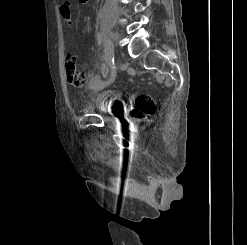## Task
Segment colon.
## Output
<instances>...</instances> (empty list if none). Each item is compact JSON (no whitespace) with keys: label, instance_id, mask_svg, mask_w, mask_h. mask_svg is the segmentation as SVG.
<instances>
[{"label":"colon","instance_id":"obj_1","mask_svg":"<svg viewBox=\"0 0 247 245\" xmlns=\"http://www.w3.org/2000/svg\"><path fill=\"white\" fill-rule=\"evenodd\" d=\"M65 74L67 82L75 87L84 85L86 77L81 72L76 64V59L73 55L68 54L65 61ZM136 108L132 115L137 118H142L152 114L155 110V101L146 94H140L135 100Z\"/></svg>","mask_w":247,"mask_h":245}]
</instances>
